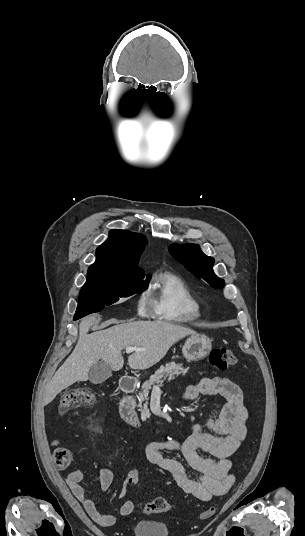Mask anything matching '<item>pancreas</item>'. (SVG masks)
I'll use <instances>...</instances> for the list:
<instances>
[{
    "label": "pancreas",
    "mask_w": 305,
    "mask_h": 536,
    "mask_svg": "<svg viewBox=\"0 0 305 536\" xmlns=\"http://www.w3.org/2000/svg\"><path fill=\"white\" fill-rule=\"evenodd\" d=\"M188 370L189 368H182V364L171 362V364H166V366H160L155 374L150 376V380H146V382L142 384L141 392L139 394V404L137 406V408H140L139 412H141L142 420H146L148 416H151L148 410L149 402H147V400H149L148 394L152 386H154V384H163L164 380H168V382H170V380H175V378H178L181 374L182 376H185ZM143 402H145V404H143Z\"/></svg>",
    "instance_id": "pancreas-1"
}]
</instances>
